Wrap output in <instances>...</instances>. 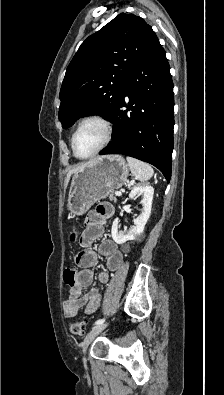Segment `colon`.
I'll return each mask as SVG.
<instances>
[{
	"label": "colon",
	"mask_w": 224,
	"mask_h": 395,
	"mask_svg": "<svg viewBox=\"0 0 224 395\" xmlns=\"http://www.w3.org/2000/svg\"><path fill=\"white\" fill-rule=\"evenodd\" d=\"M77 238V233L72 232L70 234L71 241H75ZM64 283L67 286L72 287L76 280V270L73 267L66 268L63 274ZM69 330L74 335H82L84 333V323L82 321H72L69 324Z\"/></svg>",
	"instance_id": "1"
}]
</instances>
